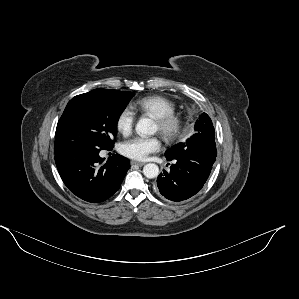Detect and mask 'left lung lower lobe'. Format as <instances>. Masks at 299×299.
I'll return each instance as SVG.
<instances>
[{
  "label": "left lung lower lobe",
  "mask_w": 299,
  "mask_h": 299,
  "mask_svg": "<svg viewBox=\"0 0 299 299\" xmlns=\"http://www.w3.org/2000/svg\"><path fill=\"white\" fill-rule=\"evenodd\" d=\"M167 160L173 161V164L169 171L163 170L158 176L155 192L176 202L186 200L200 191L214 164L210 156L202 150H183Z\"/></svg>",
  "instance_id": "0a47b994"
}]
</instances>
